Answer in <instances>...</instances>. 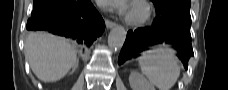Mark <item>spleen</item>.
Instances as JSON below:
<instances>
[{
  "label": "spleen",
  "mask_w": 228,
  "mask_h": 90,
  "mask_svg": "<svg viewBox=\"0 0 228 90\" xmlns=\"http://www.w3.org/2000/svg\"><path fill=\"white\" fill-rule=\"evenodd\" d=\"M142 73L159 90H170L180 75L175 51L166 45L146 53L140 59Z\"/></svg>",
  "instance_id": "3e777b00"
}]
</instances>
